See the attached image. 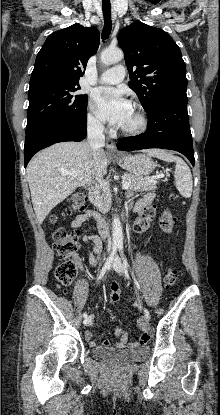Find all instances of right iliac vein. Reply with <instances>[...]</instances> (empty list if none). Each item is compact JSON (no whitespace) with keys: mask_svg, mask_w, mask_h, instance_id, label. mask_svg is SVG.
Listing matches in <instances>:
<instances>
[{"mask_svg":"<svg viewBox=\"0 0 220 415\" xmlns=\"http://www.w3.org/2000/svg\"><path fill=\"white\" fill-rule=\"evenodd\" d=\"M91 322H92V318L89 316V317L84 319L83 324L85 326H89L91 324Z\"/></svg>","mask_w":220,"mask_h":415,"instance_id":"63e3f726","label":"right iliac vein"}]
</instances>
